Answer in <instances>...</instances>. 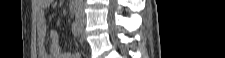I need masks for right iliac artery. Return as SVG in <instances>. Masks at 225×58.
Masks as SVG:
<instances>
[{"label":"right iliac artery","mask_w":225,"mask_h":58,"mask_svg":"<svg viewBox=\"0 0 225 58\" xmlns=\"http://www.w3.org/2000/svg\"><path fill=\"white\" fill-rule=\"evenodd\" d=\"M72 33L76 37L80 36V28H79L77 22H73L72 23Z\"/></svg>","instance_id":"right-iliac-artery-1"}]
</instances>
